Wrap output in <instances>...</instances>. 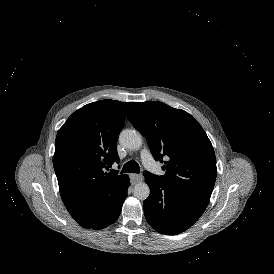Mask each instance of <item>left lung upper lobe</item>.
Returning <instances> with one entry per match:
<instances>
[{
  "label": "left lung upper lobe",
  "mask_w": 274,
  "mask_h": 274,
  "mask_svg": "<svg viewBox=\"0 0 274 274\" xmlns=\"http://www.w3.org/2000/svg\"><path fill=\"white\" fill-rule=\"evenodd\" d=\"M128 120L146 138L157 161L164 162L160 181L210 198L217 168L214 149L200 124L187 112L162 102L133 103Z\"/></svg>",
  "instance_id": "left-lung-upper-lobe-1"
}]
</instances>
